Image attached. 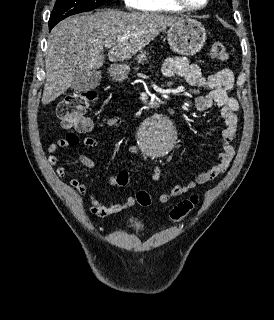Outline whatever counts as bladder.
I'll return each instance as SVG.
<instances>
[{"label":"bladder","mask_w":274,"mask_h":320,"mask_svg":"<svg viewBox=\"0 0 274 320\" xmlns=\"http://www.w3.org/2000/svg\"><path fill=\"white\" fill-rule=\"evenodd\" d=\"M131 227H133L134 229H141L143 227V224L139 220L133 219L131 221Z\"/></svg>","instance_id":"obj_1"}]
</instances>
